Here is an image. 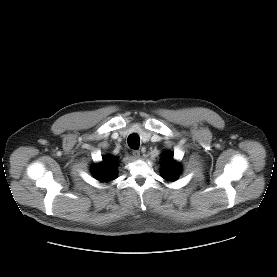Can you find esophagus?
<instances>
[{"instance_id": "1", "label": "esophagus", "mask_w": 277, "mask_h": 277, "mask_svg": "<svg viewBox=\"0 0 277 277\" xmlns=\"http://www.w3.org/2000/svg\"><path fill=\"white\" fill-rule=\"evenodd\" d=\"M132 155L135 159L140 158V151L139 150H133Z\"/></svg>"}]
</instances>
